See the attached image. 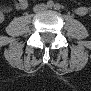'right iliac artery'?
Returning <instances> with one entry per match:
<instances>
[{
	"mask_svg": "<svg viewBox=\"0 0 91 91\" xmlns=\"http://www.w3.org/2000/svg\"><path fill=\"white\" fill-rule=\"evenodd\" d=\"M53 5H54V3H53L52 1H48V2H47V6H48V7H52Z\"/></svg>",
	"mask_w": 91,
	"mask_h": 91,
	"instance_id": "right-iliac-artery-1",
	"label": "right iliac artery"
}]
</instances>
